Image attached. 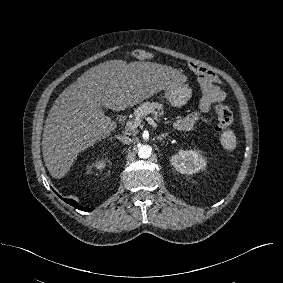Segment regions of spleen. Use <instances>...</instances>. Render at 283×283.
Returning a JSON list of instances; mask_svg holds the SVG:
<instances>
[{
  "instance_id": "obj_1",
  "label": "spleen",
  "mask_w": 283,
  "mask_h": 283,
  "mask_svg": "<svg viewBox=\"0 0 283 283\" xmlns=\"http://www.w3.org/2000/svg\"><path fill=\"white\" fill-rule=\"evenodd\" d=\"M221 145L227 151H232L236 148V136L233 130L224 131L220 138Z\"/></svg>"
}]
</instances>
